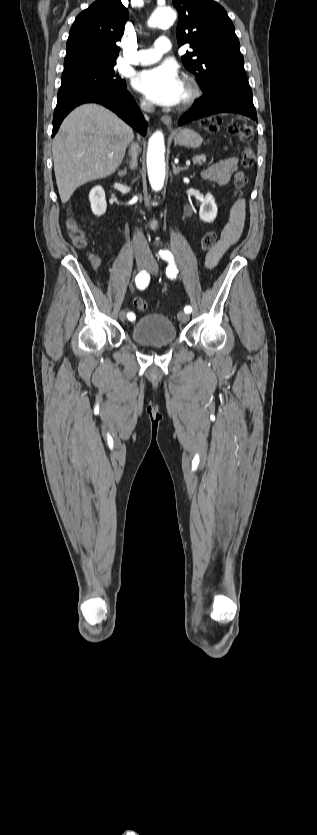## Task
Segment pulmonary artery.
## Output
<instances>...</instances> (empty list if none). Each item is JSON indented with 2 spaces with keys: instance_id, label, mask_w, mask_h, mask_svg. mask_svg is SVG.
Here are the masks:
<instances>
[{
  "instance_id": "pulmonary-artery-1",
  "label": "pulmonary artery",
  "mask_w": 317,
  "mask_h": 835,
  "mask_svg": "<svg viewBox=\"0 0 317 835\" xmlns=\"http://www.w3.org/2000/svg\"><path fill=\"white\" fill-rule=\"evenodd\" d=\"M171 49L170 39L166 36L159 37L152 48L141 49L137 52L136 61L141 65H148L158 61L162 54Z\"/></svg>"
}]
</instances>
